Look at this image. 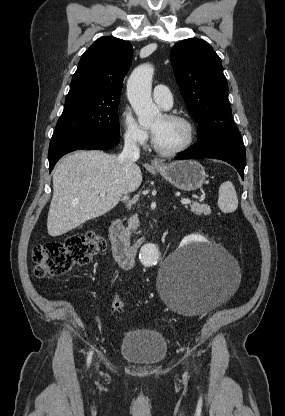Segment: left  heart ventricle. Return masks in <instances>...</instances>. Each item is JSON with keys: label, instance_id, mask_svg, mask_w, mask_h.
<instances>
[{"label": "left heart ventricle", "instance_id": "b2bd125f", "mask_svg": "<svg viewBox=\"0 0 285 416\" xmlns=\"http://www.w3.org/2000/svg\"><path fill=\"white\" fill-rule=\"evenodd\" d=\"M150 127L157 145L165 150L178 148L187 139L185 126L180 122L165 118L163 114L154 119Z\"/></svg>", "mask_w": 285, "mask_h": 416}]
</instances>
